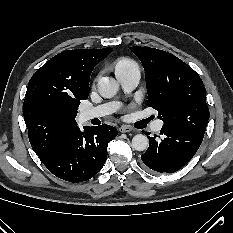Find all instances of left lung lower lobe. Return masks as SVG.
<instances>
[{
  "instance_id": "obj_1",
  "label": "left lung lower lobe",
  "mask_w": 233,
  "mask_h": 233,
  "mask_svg": "<svg viewBox=\"0 0 233 233\" xmlns=\"http://www.w3.org/2000/svg\"><path fill=\"white\" fill-rule=\"evenodd\" d=\"M148 138L149 147L141 159L149 169L158 173H172L182 168L203 141V137L193 132L166 125L162 126L160 136L155 134Z\"/></svg>"
}]
</instances>
